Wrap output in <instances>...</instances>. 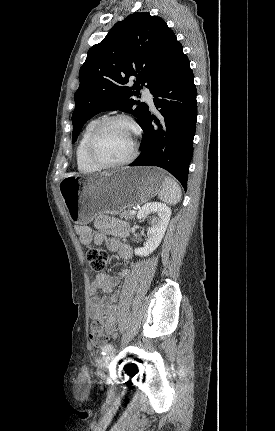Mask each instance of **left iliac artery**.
I'll return each mask as SVG.
<instances>
[{"instance_id":"obj_1","label":"left iliac artery","mask_w":275,"mask_h":431,"mask_svg":"<svg viewBox=\"0 0 275 431\" xmlns=\"http://www.w3.org/2000/svg\"><path fill=\"white\" fill-rule=\"evenodd\" d=\"M114 347L112 344H107L102 348V355H106L107 353L113 352Z\"/></svg>"}]
</instances>
